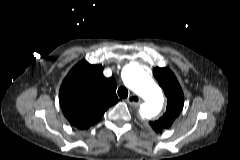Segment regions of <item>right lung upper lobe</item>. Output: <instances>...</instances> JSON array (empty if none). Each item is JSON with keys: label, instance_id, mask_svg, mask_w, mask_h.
<instances>
[{"label": "right lung upper lobe", "instance_id": "cb5924a9", "mask_svg": "<svg viewBox=\"0 0 240 160\" xmlns=\"http://www.w3.org/2000/svg\"><path fill=\"white\" fill-rule=\"evenodd\" d=\"M116 87L112 78L104 77L101 65L79 62L60 87L59 101L65 117L78 129L89 128L118 102Z\"/></svg>", "mask_w": 240, "mask_h": 160}]
</instances>
